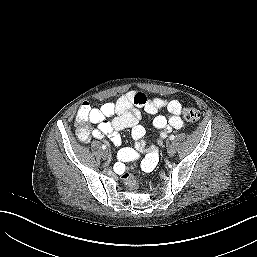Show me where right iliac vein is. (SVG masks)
<instances>
[{
    "instance_id": "right-iliac-vein-1",
    "label": "right iliac vein",
    "mask_w": 257,
    "mask_h": 257,
    "mask_svg": "<svg viewBox=\"0 0 257 257\" xmlns=\"http://www.w3.org/2000/svg\"><path fill=\"white\" fill-rule=\"evenodd\" d=\"M102 157H103V159L107 160L108 159V152L107 151H103L102 152Z\"/></svg>"
}]
</instances>
